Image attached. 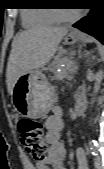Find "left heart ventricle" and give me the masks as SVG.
<instances>
[{
    "label": "left heart ventricle",
    "instance_id": "b2bd125f",
    "mask_svg": "<svg viewBox=\"0 0 104 169\" xmlns=\"http://www.w3.org/2000/svg\"><path fill=\"white\" fill-rule=\"evenodd\" d=\"M62 14L64 15H72L73 13H75V10H72V9H62L61 10Z\"/></svg>",
    "mask_w": 104,
    "mask_h": 169
}]
</instances>
